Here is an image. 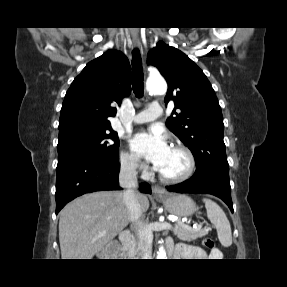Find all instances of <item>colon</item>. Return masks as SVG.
Segmentation results:
<instances>
[{
  "label": "colon",
  "mask_w": 287,
  "mask_h": 287,
  "mask_svg": "<svg viewBox=\"0 0 287 287\" xmlns=\"http://www.w3.org/2000/svg\"><path fill=\"white\" fill-rule=\"evenodd\" d=\"M202 245L208 249H212L214 248V241L210 237H205L202 239ZM109 249L111 250L112 253H115L117 250V247L111 246Z\"/></svg>",
  "instance_id": "obj_1"
}]
</instances>
